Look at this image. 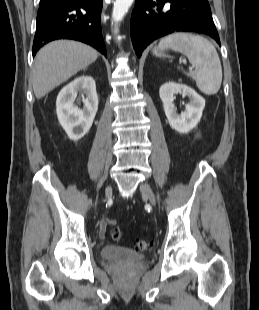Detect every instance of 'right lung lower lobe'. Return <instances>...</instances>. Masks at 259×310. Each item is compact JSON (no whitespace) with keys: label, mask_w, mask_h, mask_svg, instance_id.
<instances>
[{"label":"right lung lower lobe","mask_w":259,"mask_h":310,"mask_svg":"<svg viewBox=\"0 0 259 310\" xmlns=\"http://www.w3.org/2000/svg\"><path fill=\"white\" fill-rule=\"evenodd\" d=\"M102 1H40L32 48L33 56L46 43L62 38L85 42L106 56L100 19Z\"/></svg>","instance_id":"1"}]
</instances>
